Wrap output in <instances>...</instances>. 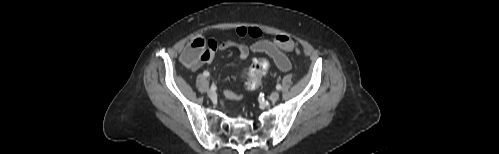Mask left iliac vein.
I'll return each mask as SVG.
<instances>
[{
	"mask_svg": "<svg viewBox=\"0 0 499 154\" xmlns=\"http://www.w3.org/2000/svg\"><path fill=\"white\" fill-rule=\"evenodd\" d=\"M279 96H280L279 92L274 91V92H272V93H271V95L269 96V99H270L271 101H277V100L279 99Z\"/></svg>",
	"mask_w": 499,
	"mask_h": 154,
	"instance_id": "1",
	"label": "left iliac vein"
}]
</instances>
